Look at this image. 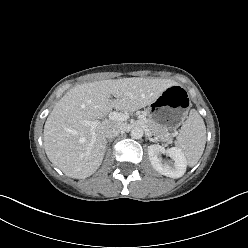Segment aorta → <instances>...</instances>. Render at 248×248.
I'll return each mask as SVG.
<instances>
[{
	"label": "aorta",
	"instance_id": "1",
	"mask_svg": "<svg viewBox=\"0 0 248 248\" xmlns=\"http://www.w3.org/2000/svg\"><path fill=\"white\" fill-rule=\"evenodd\" d=\"M143 129L141 127H134L131 132L130 135L133 139H140L143 137Z\"/></svg>",
	"mask_w": 248,
	"mask_h": 248
}]
</instances>
